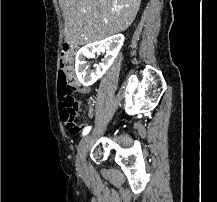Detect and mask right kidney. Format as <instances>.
<instances>
[{
    "instance_id": "1",
    "label": "right kidney",
    "mask_w": 217,
    "mask_h": 202,
    "mask_svg": "<svg viewBox=\"0 0 217 202\" xmlns=\"http://www.w3.org/2000/svg\"><path fill=\"white\" fill-rule=\"evenodd\" d=\"M123 42V34H116V36H111V38H106V40H101V42H94V44H87V46L80 48L79 52H77L75 62V72L79 82L83 86H92L98 78H101L106 70L110 68L111 64H113L119 50H121V46H123ZM96 46L98 50L104 48L106 54L101 64H99L98 72H91V70H87L86 68L85 58H92Z\"/></svg>"
}]
</instances>
